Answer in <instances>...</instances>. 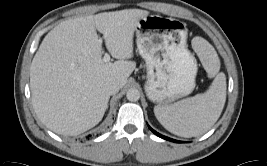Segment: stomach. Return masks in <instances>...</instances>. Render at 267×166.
Returning <instances> with one entry per match:
<instances>
[{"label":"stomach","instance_id":"1","mask_svg":"<svg viewBox=\"0 0 267 166\" xmlns=\"http://www.w3.org/2000/svg\"><path fill=\"white\" fill-rule=\"evenodd\" d=\"M136 43L146 62L145 92L149 100L166 105L195 88L197 61L187 48V30L176 19L149 15L139 21Z\"/></svg>","mask_w":267,"mask_h":166}]
</instances>
